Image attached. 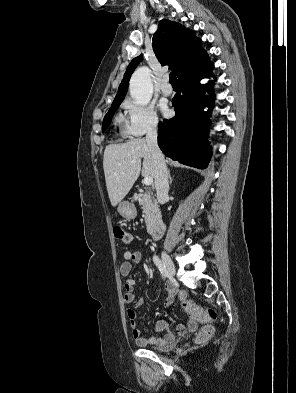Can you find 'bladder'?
<instances>
[{"instance_id":"bladder-1","label":"bladder","mask_w":296,"mask_h":393,"mask_svg":"<svg viewBox=\"0 0 296 393\" xmlns=\"http://www.w3.org/2000/svg\"><path fill=\"white\" fill-rule=\"evenodd\" d=\"M176 343L175 341H171L170 343L164 345V346H159V347H148L150 350L153 351H169L175 347Z\"/></svg>"}]
</instances>
